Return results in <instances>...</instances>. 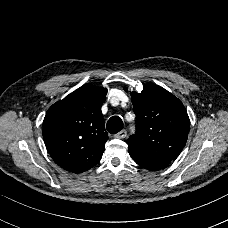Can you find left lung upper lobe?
Listing matches in <instances>:
<instances>
[{
	"instance_id": "left-lung-upper-lobe-1",
	"label": "left lung upper lobe",
	"mask_w": 228,
	"mask_h": 228,
	"mask_svg": "<svg viewBox=\"0 0 228 228\" xmlns=\"http://www.w3.org/2000/svg\"><path fill=\"white\" fill-rule=\"evenodd\" d=\"M136 134L126 142L139 166L156 171L167 167L187 141L190 120L182 102L162 87L148 83L141 93L132 92Z\"/></svg>"
}]
</instances>
